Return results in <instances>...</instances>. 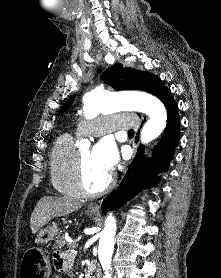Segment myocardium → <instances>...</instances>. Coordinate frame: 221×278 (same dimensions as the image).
<instances>
[{
  "label": "myocardium",
  "instance_id": "obj_1",
  "mask_svg": "<svg viewBox=\"0 0 221 278\" xmlns=\"http://www.w3.org/2000/svg\"><path fill=\"white\" fill-rule=\"evenodd\" d=\"M73 181H74L75 187L77 188V190L81 194V196L97 197V196H100V195L106 193L113 186V184L115 182V176L113 174H110L106 183L99 189H96V190L90 189L86 185V182L84 179L82 153L77 152L75 159H74V165H73Z\"/></svg>",
  "mask_w": 221,
  "mask_h": 278
}]
</instances>
